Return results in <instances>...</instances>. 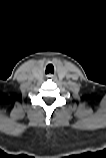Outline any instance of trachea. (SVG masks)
<instances>
[{
	"label": "trachea",
	"instance_id": "3493384b",
	"mask_svg": "<svg viewBox=\"0 0 106 158\" xmlns=\"http://www.w3.org/2000/svg\"><path fill=\"white\" fill-rule=\"evenodd\" d=\"M49 68L52 69V71L54 72V67L52 64H49L47 67H46V73H49Z\"/></svg>",
	"mask_w": 106,
	"mask_h": 158
}]
</instances>
